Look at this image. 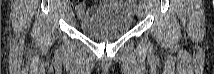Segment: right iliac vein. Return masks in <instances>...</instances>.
<instances>
[{
    "label": "right iliac vein",
    "mask_w": 214,
    "mask_h": 74,
    "mask_svg": "<svg viewBox=\"0 0 214 74\" xmlns=\"http://www.w3.org/2000/svg\"><path fill=\"white\" fill-rule=\"evenodd\" d=\"M68 17L70 20L73 19V17H74V13L71 9L68 10Z\"/></svg>",
    "instance_id": "right-iliac-vein-1"
}]
</instances>
